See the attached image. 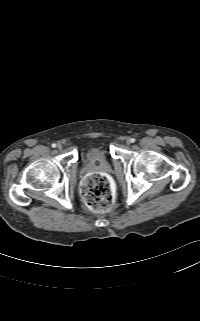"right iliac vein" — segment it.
I'll list each match as a JSON object with an SVG mask.
<instances>
[{"label": "right iliac vein", "instance_id": "63e3f726", "mask_svg": "<svg viewBox=\"0 0 200 321\" xmlns=\"http://www.w3.org/2000/svg\"><path fill=\"white\" fill-rule=\"evenodd\" d=\"M57 148H58L59 150H61V149H62V145L59 143V144L57 145Z\"/></svg>", "mask_w": 200, "mask_h": 321}]
</instances>
